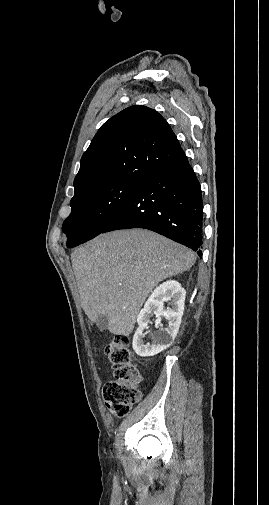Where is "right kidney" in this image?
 I'll use <instances>...</instances> for the list:
<instances>
[{
  "label": "right kidney",
  "instance_id": "right-kidney-1",
  "mask_svg": "<svg viewBox=\"0 0 269 505\" xmlns=\"http://www.w3.org/2000/svg\"><path fill=\"white\" fill-rule=\"evenodd\" d=\"M186 292L181 284L175 280H169L160 284L146 301L144 308L137 317V328L133 337V349L141 357L157 355L167 349L174 341L181 318L184 312V301ZM164 302H169L171 308H164ZM155 314L157 321L161 317L168 320L167 328H159L154 333L152 343L144 344V330L148 327L150 317Z\"/></svg>",
  "mask_w": 269,
  "mask_h": 505
}]
</instances>
